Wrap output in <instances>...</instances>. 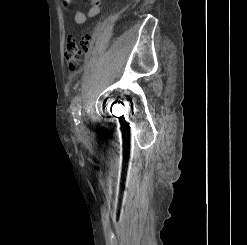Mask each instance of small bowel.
<instances>
[{
    "label": "small bowel",
    "instance_id": "small-bowel-1",
    "mask_svg": "<svg viewBox=\"0 0 247 245\" xmlns=\"http://www.w3.org/2000/svg\"><path fill=\"white\" fill-rule=\"evenodd\" d=\"M73 0H63L64 4L69 5ZM90 7L83 11L76 9L73 18L76 24H84L89 19L96 17L100 13L101 0H89Z\"/></svg>",
    "mask_w": 247,
    "mask_h": 245
}]
</instances>
